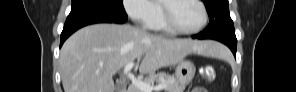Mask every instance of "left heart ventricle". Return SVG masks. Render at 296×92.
Returning <instances> with one entry per match:
<instances>
[{
    "instance_id": "obj_1",
    "label": "left heart ventricle",
    "mask_w": 296,
    "mask_h": 92,
    "mask_svg": "<svg viewBox=\"0 0 296 92\" xmlns=\"http://www.w3.org/2000/svg\"><path fill=\"white\" fill-rule=\"evenodd\" d=\"M171 16L175 24L184 30L197 28L203 20L200 6L191 0L175 2L171 6Z\"/></svg>"
}]
</instances>
